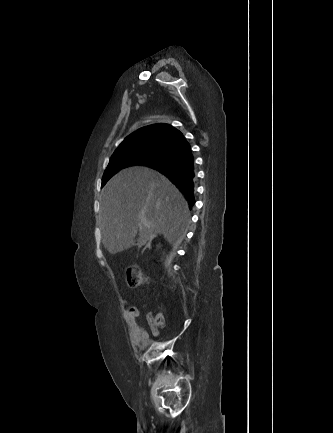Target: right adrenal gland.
<instances>
[{
	"label": "right adrenal gland",
	"mask_w": 333,
	"mask_h": 433,
	"mask_svg": "<svg viewBox=\"0 0 333 433\" xmlns=\"http://www.w3.org/2000/svg\"><path fill=\"white\" fill-rule=\"evenodd\" d=\"M150 247H151V242H148L147 245L145 246L144 250H145L146 248H150Z\"/></svg>",
	"instance_id": "obj_1"
}]
</instances>
